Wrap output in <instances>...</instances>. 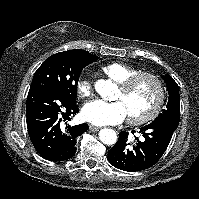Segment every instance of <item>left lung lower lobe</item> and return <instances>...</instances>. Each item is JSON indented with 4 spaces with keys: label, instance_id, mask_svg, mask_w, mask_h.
<instances>
[{
    "label": "left lung lower lobe",
    "instance_id": "0a47b994",
    "mask_svg": "<svg viewBox=\"0 0 199 199\" xmlns=\"http://www.w3.org/2000/svg\"><path fill=\"white\" fill-rule=\"evenodd\" d=\"M178 124L154 120L140 128L144 138L130 142L128 132L121 131L117 143L108 151V161L114 167L129 171L150 168L162 157ZM134 133V131H132Z\"/></svg>",
    "mask_w": 199,
    "mask_h": 199
}]
</instances>
